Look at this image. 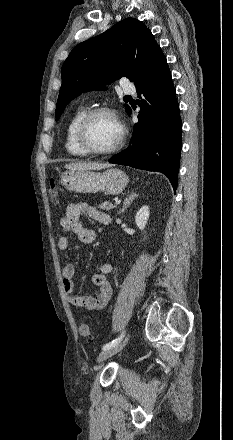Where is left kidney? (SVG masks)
I'll list each match as a JSON object with an SVG mask.
<instances>
[{
    "instance_id": "5707ae66",
    "label": "left kidney",
    "mask_w": 233,
    "mask_h": 440,
    "mask_svg": "<svg viewBox=\"0 0 233 440\" xmlns=\"http://www.w3.org/2000/svg\"><path fill=\"white\" fill-rule=\"evenodd\" d=\"M149 215H150V212H149L148 206H143L136 213L135 223L141 231H143L144 228L146 227L147 221L149 219Z\"/></svg>"
}]
</instances>
